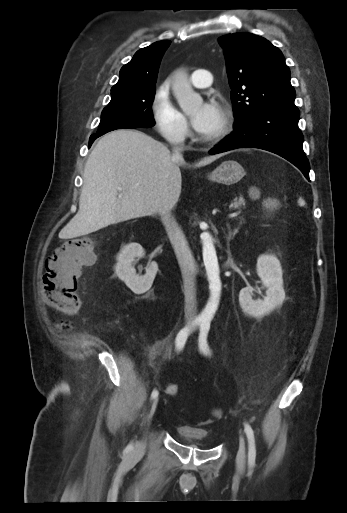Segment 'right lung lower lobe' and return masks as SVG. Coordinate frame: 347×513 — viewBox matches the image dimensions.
Returning <instances> with one entry per match:
<instances>
[{
  "instance_id": "98d812e1",
  "label": "right lung lower lobe",
  "mask_w": 347,
  "mask_h": 513,
  "mask_svg": "<svg viewBox=\"0 0 347 513\" xmlns=\"http://www.w3.org/2000/svg\"><path fill=\"white\" fill-rule=\"evenodd\" d=\"M129 129H131V128H129ZM106 133H107V132H106ZM103 134H105V133H96V134L92 135V136L90 137V139H89V147L91 146V144L93 143V141H94L96 138H98L99 136H101V135H103Z\"/></svg>"
}]
</instances>
